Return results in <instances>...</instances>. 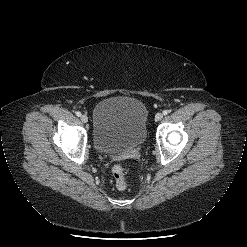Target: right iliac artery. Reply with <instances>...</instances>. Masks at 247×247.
<instances>
[{
    "label": "right iliac artery",
    "instance_id": "82829eb1",
    "mask_svg": "<svg viewBox=\"0 0 247 247\" xmlns=\"http://www.w3.org/2000/svg\"><path fill=\"white\" fill-rule=\"evenodd\" d=\"M76 116L80 117L81 116V112L77 111L76 113Z\"/></svg>",
    "mask_w": 247,
    "mask_h": 247
}]
</instances>
